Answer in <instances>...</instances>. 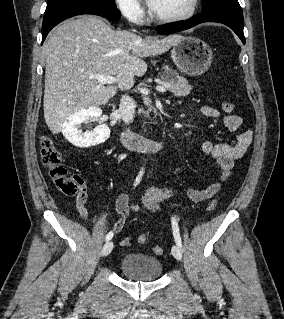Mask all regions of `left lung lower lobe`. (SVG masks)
I'll use <instances>...</instances> for the list:
<instances>
[{
    "instance_id": "0a47b994",
    "label": "left lung lower lobe",
    "mask_w": 284,
    "mask_h": 319,
    "mask_svg": "<svg viewBox=\"0 0 284 319\" xmlns=\"http://www.w3.org/2000/svg\"><path fill=\"white\" fill-rule=\"evenodd\" d=\"M204 22H218L227 25L238 35L243 44H245L243 13L242 9L237 7H221L202 12L187 21L159 26L157 27V32L160 34H171L189 29Z\"/></svg>"
}]
</instances>
